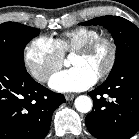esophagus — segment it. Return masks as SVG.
Here are the masks:
<instances>
[{
    "label": "esophagus",
    "instance_id": "esophagus-1",
    "mask_svg": "<svg viewBox=\"0 0 139 139\" xmlns=\"http://www.w3.org/2000/svg\"><path fill=\"white\" fill-rule=\"evenodd\" d=\"M74 97H75L74 94H65V99H66L67 101H71Z\"/></svg>",
    "mask_w": 139,
    "mask_h": 139
}]
</instances>
